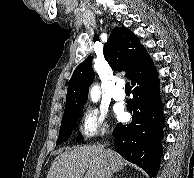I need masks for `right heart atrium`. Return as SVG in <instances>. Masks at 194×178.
I'll return each mask as SVG.
<instances>
[{
	"label": "right heart atrium",
	"instance_id": "right-heart-atrium-1",
	"mask_svg": "<svg viewBox=\"0 0 194 178\" xmlns=\"http://www.w3.org/2000/svg\"><path fill=\"white\" fill-rule=\"evenodd\" d=\"M109 132L106 115L98 109L86 108L80 115L78 133L84 141L104 136Z\"/></svg>",
	"mask_w": 194,
	"mask_h": 178
}]
</instances>
